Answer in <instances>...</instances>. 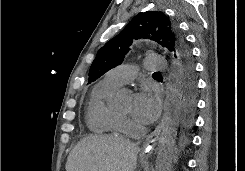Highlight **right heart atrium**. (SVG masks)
I'll list each match as a JSON object with an SVG mask.
<instances>
[{
    "label": "right heart atrium",
    "mask_w": 245,
    "mask_h": 171,
    "mask_svg": "<svg viewBox=\"0 0 245 171\" xmlns=\"http://www.w3.org/2000/svg\"><path fill=\"white\" fill-rule=\"evenodd\" d=\"M132 128V123L129 119L126 117H122L121 119V124H120V129L121 131L127 132Z\"/></svg>",
    "instance_id": "d8ad5b80"
}]
</instances>
